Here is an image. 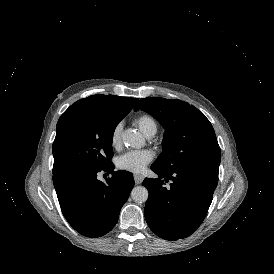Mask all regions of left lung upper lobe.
<instances>
[{
	"label": "left lung upper lobe",
	"mask_w": 274,
	"mask_h": 274,
	"mask_svg": "<svg viewBox=\"0 0 274 274\" xmlns=\"http://www.w3.org/2000/svg\"><path fill=\"white\" fill-rule=\"evenodd\" d=\"M141 109L165 128L163 152L154 165L166 170L188 166L219 169L221 151L214 129L196 107L181 100L149 97L134 107Z\"/></svg>",
	"instance_id": "1"
}]
</instances>
